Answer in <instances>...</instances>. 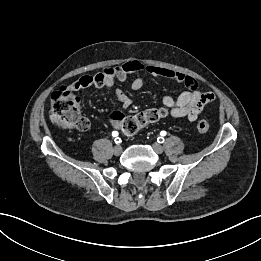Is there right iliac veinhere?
Returning a JSON list of instances; mask_svg holds the SVG:
<instances>
[{
  "mask_svg": "<svg viewBox=\"0 0 261 261\" xmlns=\"http://www.w3.org/2000/svg\"><path fill=\"white\" fill-rule=\"evenodd\" d=\"M113 153L114 155L118 156L122 153V147L120 145H116L114 148H113Z\"/></svg>",
  "mask_w": 261,
  "mask_h": 261,
  "instance_id": "right-iliac-vein-1",
  "label": "right iliac vein"
}]
</instances>
